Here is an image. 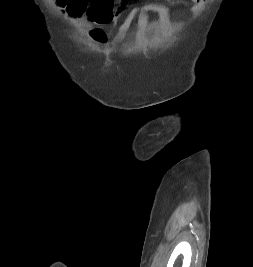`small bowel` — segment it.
Wrapping results in <instances>:
<instances>
[{"instance_id": "1", "label": "small bowel", "mask_w": 253, "mask_h": 267, "mask_svg": "<svg viewBox=\"0 0 253 267\" xmlns=\"http://www.w3.org/2000/svg\"><path fill=\"white\" fill-rule=\"evenodd\" d=\"M63 5V10L72 17L85 16L89 21L97 26L113 23L120 18L123 22L111 37V43L120 42L128 32L132 22L138 18L137 40L140 41L145 33L151 13L157 14L162 26L169 30V9L162 4L149 3L141 5L139 0H68ZM171 1V0H167ZM194 5L192 11L200 12L205 0H191Z\"/></svg>"}]
</instances>
